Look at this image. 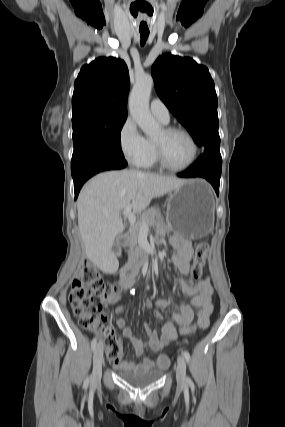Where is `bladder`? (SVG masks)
<instances>
[{"label": "bladder", "mask_w": 285, "mask_h": 427, "mask_svg": "<svg viewBox=\"0 0 285 427\" xmlns=\"http://www.w3.org/2000/svg\"><path fill=\"white\" fill-rule=\"evenodd\" d=\"M119 374L129 384L135 387H144L160 379L161 376L164 374V369H157L154 371L145 372L141 374L120 370Z\"/></svg>", "instance_id": "obj_1"}]
</instances>
